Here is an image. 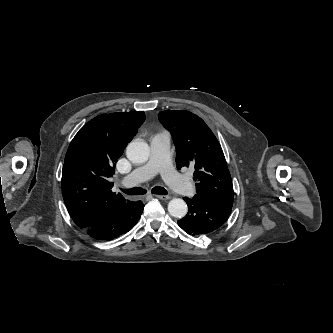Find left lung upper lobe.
Segmentation results:
<instances>
[{
	"mask_svg": "<svg viewBox=\"0 0 333 333\" xmlns=\"http://www.w3.org/2000/svg\"><path fill=\"white\" fill-rule=\"evenodd\" d=\"M159 120L172 134L176 166L195 169V196L217 206L233 205V185L222 148L202 118L185 110H166Z\"/></svg>",
	"mask_w": 333,
	"mask_h": 333,
	"instance_id": "left-lung-upper-lobe-1",
	"label": "left lung upper lobe"
}]
</instances>
